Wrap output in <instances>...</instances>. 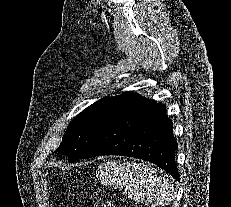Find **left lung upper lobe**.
<instances>
[{
  "mask_svg": "<svg viewBox=\"0 0 231 207\" xmlns=\"http://www.w3.org/2000/svg\"><path fill=\"white\" fill-rule=\"evenodd\" d=\"M134 95L107 96L84 109L68 125L57 152L67 155L70 163L80 159L107 120Z\"/></svg>",
  "mask_w": 231,
  "mask_h": 207,
  "instance_id": "left-lung-upper-lobe-1",
  "label": "left lung upper lobe"
}]
</instances>
